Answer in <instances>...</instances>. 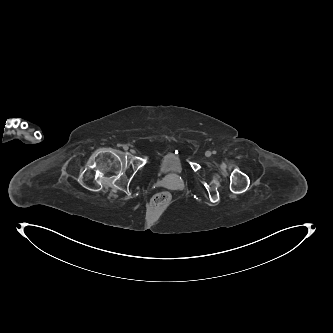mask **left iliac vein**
<instances>
[{
  "mask_svg": "<svg viewBox=\"0 0 333 333\" xmlns=\"http://www.w3.org/2000/svg\"><path fill=\"white\" fill-rule=\"evenodd\" d=\"M205 156H206V157H210V156H211V152H210V151H207V152L205 153Z\"/></svg>",
  "mask_w": 333,
  "mask_h": 333,
  "instance_id": "1",
  "label": "left iliac vein"
}]
</instances>
